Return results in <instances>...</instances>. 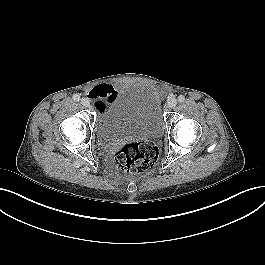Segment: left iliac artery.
Here are the masks:
<instances>
[{"label":"left iliac artery","instance_id":"1","mask_svg":"<svg viewBox=\"0 0 265 265\" xmlns=\"http://www.w3.org/2000/svg\"><path fill=\"white\" fill-rule=\"evenodd\" d=\"M185 97L183 95L178 96V102H184Z\"/></svg>","mask_w":265,"mask_h":265}]
</instances>
